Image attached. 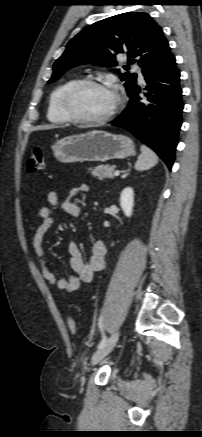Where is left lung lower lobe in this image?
Returning a JSON list of instances; mask_svg holds the SVG:
<instances>
[{
    "label": "left lung lower lobe",
    "mask_w": 202,
    "mask_h": 437,
    "mask_svg": "<svg viewBox=\"0 0 202 437\" xmlns=\"http://www.w3.org/2000/svg\"><path fill=\"white\" fill-rule=\"evenodd\" d=\"M147 83L145 98L136 85L129 95L127 108L112 125L133 133L152 148L172 168L182 125V89L180 72L169 45L143 72Z\"/></svg>",
    "instance_id": "left-lung-lower-lobe-1"
}]
</instances>
